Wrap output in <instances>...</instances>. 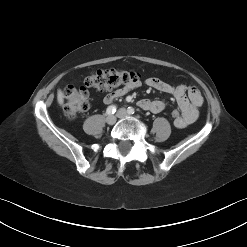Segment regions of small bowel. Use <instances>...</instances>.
<instances>
[{"label":"small bowel","mask_w":247,"mask_h":247,"mask_svg":"<svg viewBox=\"0 0 247 247\" xmlns=\"http://www.w3.org/2000/svg\"><path fill=\"white\" fill-rule=\"evenodd\" d=\"M145 84L158 91L171 94L177 101V104L181 110V116L178 120L174 121V125L183 129L196 121L199 116V107L203 104V96L200 91L192 86L184 84L172 85L159 78L150 77L145 80ZM141 85L139 80L130 83L122 88L108 93L104 97L105 104H111L116 99L126 95L131 90L138 88ZM138 106L152 113L162 112L166 104L161 100L141 99L138 101Z\"/></svg>","instance_id":"c3829d8e"}]
</instances>
